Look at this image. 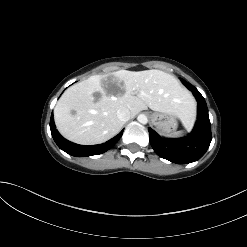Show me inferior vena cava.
Segmentation results:
<instances>
[{"label": "inferior vena cava", "mask_w": 247, "mask_h": 247, "mask_svg": "<svg viewBox=\"0 0 247 247\" xmlns=\"http://www.w3.org/2000/svg\"><path fill=\"white\" fill-rule=\"evenodd\" d=\"M117 117L120 121L126 122L130 119L131 114L128 108L121 107L117 110Z\"/></svg>", "instance_id": "1"}]
</instances>
